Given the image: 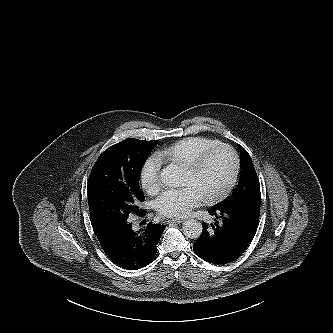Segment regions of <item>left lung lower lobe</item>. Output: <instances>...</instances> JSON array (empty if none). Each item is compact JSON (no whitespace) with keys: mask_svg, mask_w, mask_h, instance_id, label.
I'll return each instance as SVG.
<instances>
[{"mask_svg":"<svg viewBox=\"0 0 333 333\" xmlns=\"http://www.w3.org/2000/svg\"><path fill=\"white\" fill-rule=\"evenodd\" d=\"M214 224L202 223V234L194 242V253L213 264L235 261L252 242L259 224L260 206L251 208H212Z\"/></svg>","mask_w":333,"mask_h":333,"instance_id":"1","label":"left lung lower lobe"}]
</instances>
